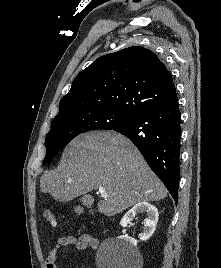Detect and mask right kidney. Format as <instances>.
<instances>
[{
  "label": "right kidney",
  "instance_id": "1",
  "mask_svg": "<svg viewBox=\"0 0 221 268\" xmlns=\"http://www.w3.org/2000/svg\"><path fill=\"white\" fill-rule=\"evenodd\" d=\"M138 213H146L147 218L144 220V227H143V232L142 236L140 237L141 241H146L149 239L155 229L156 225L158 222V210L155 206L151 205L148 202H140L136 204L132 209H130L124 217L120 221V225L122 227H127V225L130 223V221L138 214ZM122 241H124L126 244H131L136 246L137 245V240L127 236V235H122L119 237Z\"/></svg>",
  "mask_w": 221,
  "mask_h": 268
}]
</instances>
